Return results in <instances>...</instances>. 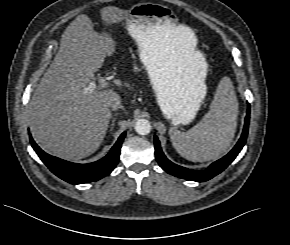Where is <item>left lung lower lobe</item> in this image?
Returning <instances> with one entry per match:
<instances>
[{
  "label": "left lung lower lobe",
  "mask_w": 290,
  "mask_h": 245,
  "mask_svg": "<svg viewBox=\"0 0 290 245\" xmlns=\"http://www.w3.org/2000/svg\"><path fill=\"white\" fill-rule=\"evenodd\" d=\"M249 112L250 110L248 109V113L245 119V125H244V130L242 133L241 138L239 139L238 143L235 145V147L223 158L220 160L212 163L206 170L204 171H194L190 170L181 166H178L171 161H169L164 153L161 150L160 147V142L157 137L154 138L155 142V155L156 159L159 163V165L168 173L184 178L187 180H193V181H207L211 179L212 177L216 176L220 172H222L238 155V153L241 151L243 148L246 138H247V133H248V125H249Z\"/></svg>",
  "instance_id": "1"
}]
</instances>
